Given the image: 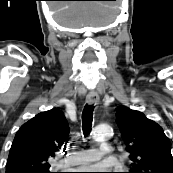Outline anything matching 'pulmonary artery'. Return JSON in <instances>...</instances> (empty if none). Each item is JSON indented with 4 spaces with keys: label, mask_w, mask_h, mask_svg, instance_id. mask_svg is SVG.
I'll use <instances>...</instances> for the list:
<instances>
[{
    "label": "pulmonary artery",
    "mask_w": 173,
    "mask_h": 173,
    "mask_svg": "<svg viewBox=\"0 0 173 173\" xmlns=\"http://www.w3.org/2000/svg\"><path fill=\"white\" fill-rule=\"evenodd\" d=\"M112 154V147L108 143H102L98 149H82L61 161L63 167L88 165L100 160L106 155Z\"/></svg>",
    "instance_id": "e3ab8cb5"
}]
</instances>
